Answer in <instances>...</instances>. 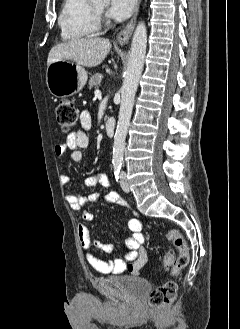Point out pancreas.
Instances as JSON below:
<instances>
[{"instance_id":"cf45deb5","label":"pancreas","mask_w":240,"mask_h":329,"mask_svg":"<svg viewBox=\"0 0 240 329\" xmlns=\"http://www.w3.org/2000/svg\"><path fill=\"white\" fill-rule=\"evenodd\" d=\"M102 74H95L89 79V88L98 87L102 81Z\"/></svg>"}]
</instances>
